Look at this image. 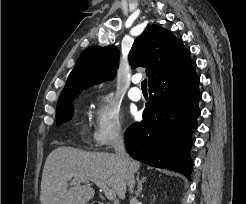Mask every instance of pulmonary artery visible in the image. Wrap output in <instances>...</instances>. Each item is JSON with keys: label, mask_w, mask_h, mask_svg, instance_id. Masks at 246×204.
<instances>
[{"label": "pulmonary artery", "mask_w": 246, "mask_h": 204, "mask_svg": "<svg viewBox=\"0 0 246 204\" xmlns=\"http://www.w3.org/2000/svg\"><path fill=\"white\" fill-rule=\"evenodd\" d=\"M132 82H133L134 85H137L140 82V78L139 77H134L132 79ZM128 97L132 101H139L142 98V92H141V90L138 87L133 86L132 88H130V90L128 92Z\"/></svg>", "instance_id": "e3ab8cb5"}]
</instances>
